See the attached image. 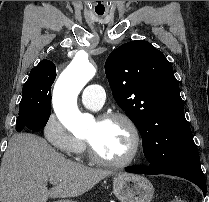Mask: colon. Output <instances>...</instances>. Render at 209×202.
I'll use <instances>...</instances> for the list:
<instances>
[{
    "mask_svg": "<svg viewBox=\"0 0 209 202\" xmlns=\"http://www.w3.org/2000/svg\"><path fill=\"white\" fill-rule=\"evenodd\" d=\"M169 202H190V201H188L187 199L182 198V197H176V198H173L172 200H170Z\"/></svg>",
    "mask_w": 209,
    "mask_h": 202,
    "instance_id": "colon-1",
    "label": "colon"
}]
</instances>
